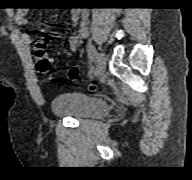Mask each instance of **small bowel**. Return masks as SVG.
I'll return each mask as SVG.
<instances>
[{
	"label": "small bowel",
	"mask_w": 192,
	"mask_h": 180,
	"mask_svg": "<svg viewBox=\"0 0 192 180\" xmlns=\"http://www.w3.org/2000/svg\"><path fill=\"white\" fill-rule=\"evenodd\" d=\"M15 21L19 25L26 24V10H18L15 14ZM71 21L73 27L77 28V30L69 36V47L72 51H75L78 47L79 40L87 37L89 32L87 11L77 8L73 9L71 11ZM20 37L22 42L26 45H30L32 43V37L29 33H21Z\"/></svg>",
	"instance_id": "small-bowel-1"
}]
</instances>
